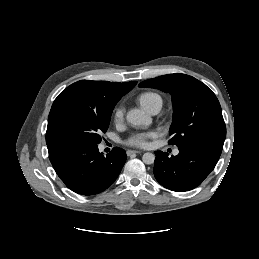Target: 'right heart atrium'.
Listing matches in <instances>:
<instances>
[{
  "label": "right heart atrium",
  "instance_id": "1",
  "mask_svg": "<svg viewBox=\"0 0 259 259\" xmlns=\"http://www.w3.org/2000/svg\"><path fill=\"white\" fill-rule=\"evenodd\" d=\"M112 118L115 124H120L124 118V109L121 106L117 107L113 112Z\"/></svg>",
  "mask_w": 259,
  "mask_h": 259
}]
</instances>
